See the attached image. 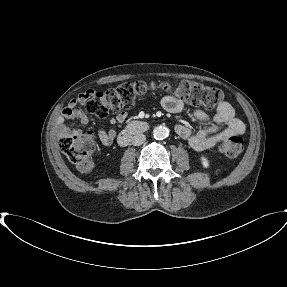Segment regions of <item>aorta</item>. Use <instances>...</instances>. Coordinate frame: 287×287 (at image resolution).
<instances>
[{
    "mask_svg": "<svg viewBox=\"0 0 287 287\" xmlns=\"http://www.w3.org/2000/svg\"><path fill=\"white\" fill-rule=\"evenodd\" d=\"M169 135V129L165 126L159 125L153 129V136L157 140H163Z\"/></svg>",
    "mask_w": 287,
    "mask_h": 287,
    "instance_id": "aorta-1",
    "label": "aorta"
}]
</instances>
